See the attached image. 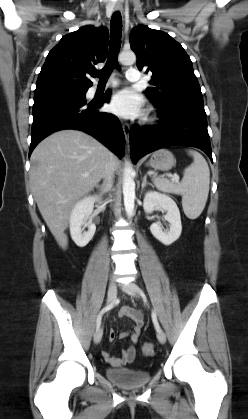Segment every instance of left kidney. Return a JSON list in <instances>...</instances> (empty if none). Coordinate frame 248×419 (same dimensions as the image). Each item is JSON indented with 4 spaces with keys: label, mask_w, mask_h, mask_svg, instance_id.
<instances>
[{
    "label": "left kidney",
    "mask_w": 248,
    "mask_h": 419,
    "mask_svg": "<svg viewBox=\"0 0 248 419\" xmlns=\"http://www.w3.org/2000/svg\"><path fill=\"white\" fill-rule=\"evenodd\" d=\"M143 208L146 213L161 209L167 212L165 220L170 223L169 230L163 231L158 223L150 226V231L157 240L164 245H170L180 237L182 231L180 211L171 197L156 191H148L144 197Z\"/></svg>",
    "instance_id": "left-kidney-1"
}]
</instances>
